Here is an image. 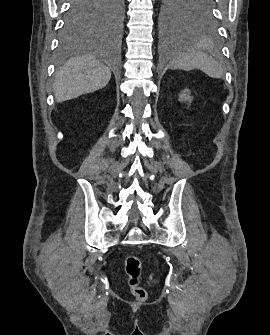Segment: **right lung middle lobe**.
Returning <instances> with one entry per match:
<instances>
[{
  "label": "right lung middle lobe",
  "mask_w": 270,
  "mask_h": 335,
  "mask_svg": "<svg viewBox=\"0 0 270 335\" xmlns=\"http://www.w3.org/2000/svg\"><path fill=\"white\" fill-rule=\"evenodd\" d=\"M124 6L125 0H71L60 35L62 45L101 25L119 28Z\"/></svg>",
  "instance_id": "dd1d6c3e"
}]
</instances>
